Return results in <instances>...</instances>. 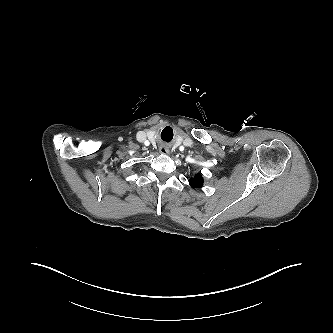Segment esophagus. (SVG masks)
Returning a JSON list of instances; mask_svg holds the SVG:
<instances>
[{"label": "esophagus", "instance_id": "esophagus-1", "mask_svg": "<svg viewBox=\"0 0 333 333\" xmlns=\"http://www.w3.org/2000/svg\"><path fill=\"white\" fill-rule=\"evenodd\" d=\"M159 151L162 155H169L170 153L169 149L166 147H161Z\"/></svg>", "mask_w": 333, "mask_h": 333}]
</instances>
